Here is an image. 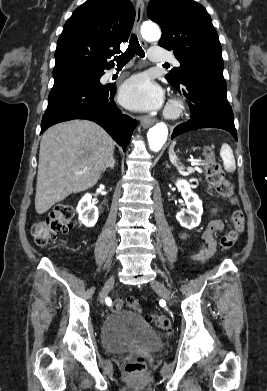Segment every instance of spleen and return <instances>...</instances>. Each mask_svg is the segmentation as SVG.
Returning <instances> with one entry per match:
<instances>
[{
  "mask_svg": "<svg viewBox=\"0 0 267 391\" xmlns=\"http://www.w3.org/2000/svg\"><path fill=\"white\" fill-rule=\"evenodd\" d=\"M174 145L175 142H173V144L169 148V159L174 166L180 169H184L183 166H179L178 164V158L174 152ZM220 156L223 160L225 170L228 172H234L236 169L235 158L231 147L227 143L222 144Z\"/></svg>",
  "mask_w": 267,
  "mask_h": 391,
  "instance_id": "1",
  "label": "spleen"
}]
</instances>
